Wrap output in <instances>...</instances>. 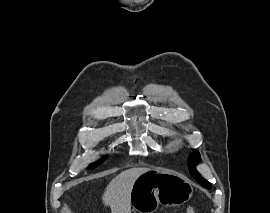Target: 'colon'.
I'll use <instances>...</instances> for the list:
<instances>
[{"instance_id":"1","label":"colon","mask_w":270,"mask_h":213,"mask_svg":"<svg viewBox=\"0 0 270 213\" xmlns=\"http://www.w3.org/2000/svg\"><path fill=\"white\" fill-rule=\"evenodd\" d=\"M188 213H194L193 209H190Z\"/></svg>"}]
</instances>
